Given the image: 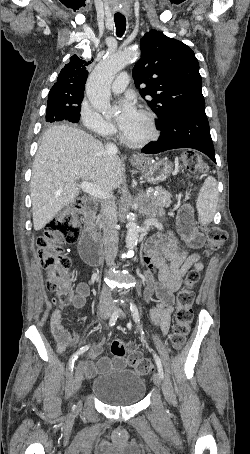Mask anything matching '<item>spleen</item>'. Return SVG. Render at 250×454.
<instances>
[{
    "label": "spleen",
    "mask_w": 250,
    "mask_h": 454,
    "mask_svg": "<svg viewBox=\"0 0 250 454\" xmlns=\"http://www.w3.org/2000/svg\"><path fill=\"white\" fill-rule=\"evenodd\" d=\"M217 204V181L214 177H208L199 191L196 203L198 219L202 225H207L213 220L217 210Z\"/></svg>",
    "instance_id": "spleen-1"
}]
</instances>
